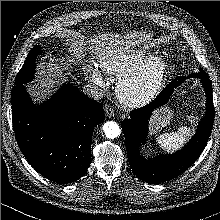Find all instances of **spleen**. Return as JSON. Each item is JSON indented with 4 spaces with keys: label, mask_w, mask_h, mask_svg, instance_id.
<instances>
[{
    "label": "spleen",
    "mask_w": 220,
    "mask_h": 220,
    "mask_svg": "<svg viewBox=\"0 0 220 220\" xmlns=\"http://www.w3.org/2000/svg\"><path fill=\"white\" fill-rule=\"evenodd\" d=\"M191 134V129L187 126H182L177 132L161 134L156 142L164 149L174 151L180 148Z\"/></svg>",
    "instance_id": "obj_1"
}]
</instances>
